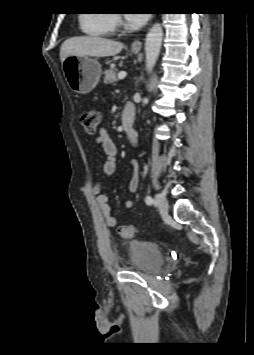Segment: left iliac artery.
Masks as SVG:
<instances>
[{"instance_id": "44dca946", "label": "left iliac artery", "mask_w": 254, "mask_h": 355, "mask_svg": "<svg viewBox=\"0 0 254 355\" xmlns=\"http://www.w3.org/2000/svg\"><path fill=\"white\" fill-rule=\"evenodd\" d=\"M145 201L148 205H151L153 203V199L151 196H146Z\"/></svg>"}]
</instances>
